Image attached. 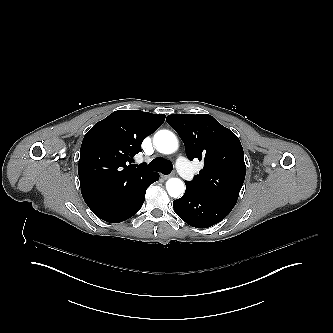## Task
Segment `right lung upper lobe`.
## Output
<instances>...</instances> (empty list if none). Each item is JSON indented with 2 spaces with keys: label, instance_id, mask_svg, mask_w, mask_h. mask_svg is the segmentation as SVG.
I'll list each match as a JSON object with an SVG mask.
<instances>
[{
  "label": "right lung upper lobe",
  "instance_id": "cb5924a9",
  "mask_svg": "<svg viewBox=\"0 0 333 333\" xmlns=\"http://www.w3.org/2000/svg\"><path fill=\"white\" fill-rule=\"evenodd\" d=\"M165 115L118 110L97 122L85 135L78 164L81 189L125 182L147 169L132 163L142 141L159 128Z\"/></svg>",
  "mask_w": 333,
  "mask_h": 333
}]
</instances>
